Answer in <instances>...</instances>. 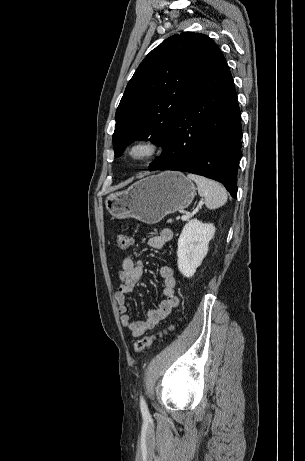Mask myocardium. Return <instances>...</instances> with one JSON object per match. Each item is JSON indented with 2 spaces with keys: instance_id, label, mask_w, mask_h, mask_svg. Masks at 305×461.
Masks as SVG:
<instances>
[{
  "instance_id": "obj_1",
  "label": "myocardium",
  "mask_w": 305,
  "mask_h": 461,
  "mask_svg": "<svg viewBox=\"0 0 305 461\" xmlns=\"http://www.w3.org/2000/svg\"><path fill=\"white\" fill-rule=\"evenodd\" d=\"M160 151V144L152 138H139L130 142L125 148L126 158L134 163H141L155 157Z\"/></svg>"
}]
</instances>
